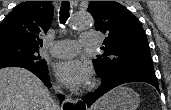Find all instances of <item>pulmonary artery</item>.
<instances>
[{
	"label": "pulmonary artery",
	"instance_id": "pulmonary-artery-1",
	"mask_svg": "<svg viewBox=\"0 0 171 110\" xmlns=\"http://www.w3.org/2000/svg\"><path fill=\"white\" fill-rule=\"evenodd\" d=\"M97 45V34L86 32L80 35L79 42L74 40H60L54 42L50 47V53L55 57L68 58L77 54L80 47H93Z\"/></svg>",
	"mask_w": 171,
	"mask_h": 110
}]
</instances>
